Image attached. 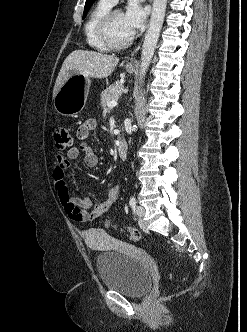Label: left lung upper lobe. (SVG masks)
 I'll return each mask as SVG.
<instances>
[{
	"mask_svg": "<svg viewBox=\"0 0 247 332\" xmlns=\"http://www.w3.org/2000/svg\"><path fill=\"white\" fill-rule=\"evenodd\" d=\"M95 0H86L85 7H84V13H83V19L86 17L88 10L90 9L91 5L94 3Z\"/></svg>",
	"mask_w": 247,
	"mask_h": 332,
	"instance_id": "left-lung-upper-lobe-1",
	"label": "left lung upper lobe"
}]
</instances>
